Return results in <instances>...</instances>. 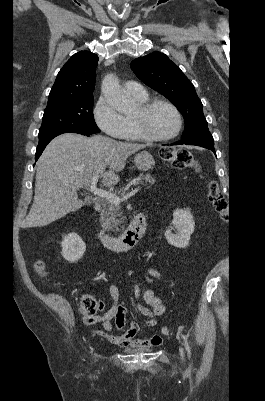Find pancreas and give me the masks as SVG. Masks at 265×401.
Listing matches in <instances>:
<instances>
[{"label":"pancreas","mask_w":265,"mask_h":401,"mask_svg":"<svg viewBox=\"0 0 265 401\" xmlns=\"http://www.w3.org/2000/svg\"><path fill=\"white\" fill-rule=\"evenodd\" d=\"M139 180H136V178H133L131 180L130 184H137V182H149V184H154L155 178L154 176H151L149 172L147 174H139L137 176ZM125 186H121L120 190H115L114 194H125ZM117 217H121V219H117ZM123 213L118 207V205H114V203H111V201H104L101 209V223L104 227V229H118V225H122L123 223ZM121 229H124V227H121Z\"/></svg>","instance_id":"1"}]
</instances>
